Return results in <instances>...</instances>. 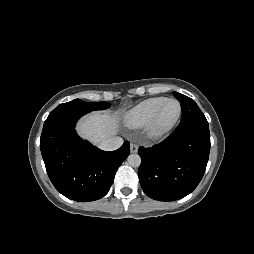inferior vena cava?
Returning <instances> with one entry per match:
<instances>
[{
	"label": "inferior vena cava",
	"instance_id": "602c4592",
	"mask_svg": "<svg viewBox=\"0 0 254 254\" xmlns=\"http://www.w3.org/2000/svg\"><path fill=\"white\" fill-rule=\"evenodd\" d=\"M123 139L121 137H112L102 141L99 144V148L105 151H113L121 147Z\"/></svg>",
	"mask_w": 254,
	"mask_h": 254
}]
</instances>
